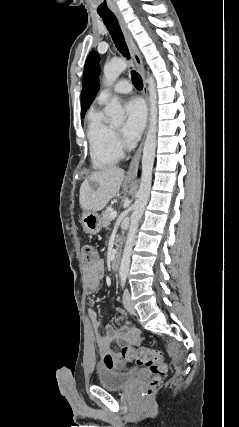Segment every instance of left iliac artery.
<instances>
[{
    "instance_id": "left-iliac-artery-1",
    "label": "left iliac artery",
    "mask_w": 239,
    "mask_h": 427,
    "mask_svg": "<svg viewBox=\"0 0 239 427\" xmlns=\"http://www.w3.org/2000/svg\"><path fill=\"white\" fill-rule=\"evenodd\" d=\"M126 281V277H122V287H124Z\"/></svg>"
}]
</instances>
